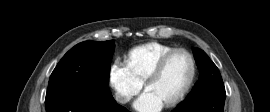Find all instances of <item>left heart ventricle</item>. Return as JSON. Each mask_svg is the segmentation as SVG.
Masks as SVG:
<instances>
[{
    "mask_svg": "<svg viewBox=\"0 0 270 112\" xmlns=\"http://www.w3.org/2000/svg\"><path fill=\"white\" fill-rule=\"evenodd\" d=\"M190 74L189 58L183 53H177L168 60L160 76L147 86L146 91L165 105L180 94Z\"/></svg>",
    "mask_w": 270,
    "mask_h": 112,
    "instance_id": "left-heart-ventricle-1",
    "label": "left heart ventricle"
}]
</instances>
